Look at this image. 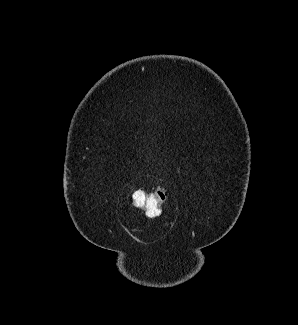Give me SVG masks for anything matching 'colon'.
<instances>
[{"mask_svg":"<svg viewBox=\"0 0 298 325\" xmlns=\"http://www.w3.org/2000/svg\"><path fill=\"white\" fill-rule=\"evenodd\" d=\"M167 198L163 188L154 190L136 189L132 192V204L148 217H155L161 210Z\"/></svg>","mask_w":298,"mask_h":325,"instance_id":"colon-1","label":"colon"}]
</instances>
